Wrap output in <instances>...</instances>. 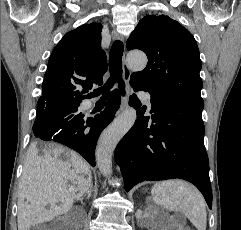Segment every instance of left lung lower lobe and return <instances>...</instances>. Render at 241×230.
<instances>
[{
  "mask_svg": "<svg viewBox=\"0 0 241 230\" xmlns=\"http://www.w3.org/2000/svg\"><path fill=\"white\" fill-rule=\"evenodd\" d=\"M135 91L144 90L130 81ZM148 92V91H147ZM151 95V117H144L136 95L130 105L137 110L134 126L118 143L115 159L125 190L142 181L180 178L193 183L212 208L209 160L204 147L202 110L177 100Z\"/></svg>",
  "mask_w": 241,
  "mask_h": 230,
  "instance_id": "left-lung-lower-lobe-1",
  "label": "left lung lower lobe"
}]
</instances>
